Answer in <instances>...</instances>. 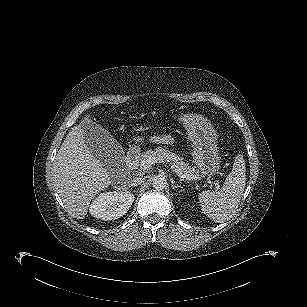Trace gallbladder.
Wrapping results in <instances>:
<instances>
[{
    "instance_id": "bac80fb5",
    "label": "gallbladder",
    "mask_w": 307,
    "mask_h": 307,
    "mask_svg": "<svg viewBox=\"0 0 307 307\" xmlns=\"http://www.w3.org/2000/svg\"><path fill=\"white\" fill-rule=\"evenodd\" d=\"M84 139L91 153L108 170L114 164V161L123 156L122 146L99 125L91 123L85 130Z\"/></svg>"
}]
</instances>
